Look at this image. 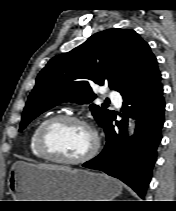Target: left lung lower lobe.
I'll list each match as a JSON object with an SVG mask.
<instances>
[{
  "label": "left lung lower lobe",
  "instance_id": "1",
  "mask_svg": "<svg viewBox=\"0 0 176 211\" xmlns=\"http://www.w3.org/2000/svg\"><path fill=\"white\" fill-rule=\"evenodd\" d=\"M123 99V119L116 122L119 132L114 130L112 117L105 128L107 142L104 150L83 166L122 180L143 198L151 179L164 124L165 101L161 74L124 95ZM129 116H136L137 126L132 138L127 140Z\"/></svg>",
  "mask_w": 176,
  "mask_h": 211
}]
</instances>
